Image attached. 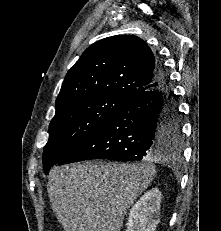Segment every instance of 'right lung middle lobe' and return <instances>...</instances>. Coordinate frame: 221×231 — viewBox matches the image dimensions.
Masks as SVG:
<instances>
[{"instance_id":"dd1d6c3e","label":"right lung middle lobe","mask_w":221,"mask_h":231,"mask_svg":"<svg viewBox=\"0 0 221 231\" xmlns=\"http://www.w3.org/2000/svg\"><path fill=\"white\" fill-rule=\"evenodd\" d=\"M127 100L114 95L90 96L79 99L56 111L49 125V140L44 147L45 174L87 138ZM170 128L164 137L175 147L181 145V129L177 109L170 112Z\"/></svg>"}]
</instances>
